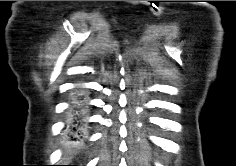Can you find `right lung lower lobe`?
Returning <instances> with one entry per match:
<instances>
[{
  "instance_id": "obj_1",
  "label": "right lung lower lobe",
  "mask_w": 236,
  "mask_h": 166,
  "mask_svg": "<svg viewBox=\"0 0 236 166\" xmlns=\"http://www.w3.org/2000/svg\"><path fill=\"white\" fill-rule=\"evenodd\" d=\"M85 111V105L82 99H77V101L73 104L72 112H73V119H72V127L71 130L75 133L80 135V130L83 127V114Z\"/></svg>"
}]
</instances>
